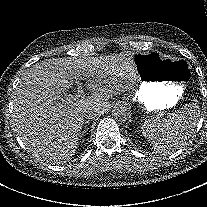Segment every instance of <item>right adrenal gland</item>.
<instances>
[{
	"instance_id": "right-adrenal-gland-1",
	"label": "right adrenal gland",
	"mask_w": 207,
	"mask_h": 207,
	"mask_svg": "<svg viewBox=\"0 0 207 207\" xmlns=\"http://www.w3.org/2000/svg\"><path fill=\"white\" fill-rule=\"evenodd\" d=\"M89 123H90L89 120H85V121L83 122L82 136H83V135H86V132H87V128H88V126H89Z\"/></svg>"
}]
</instances>
